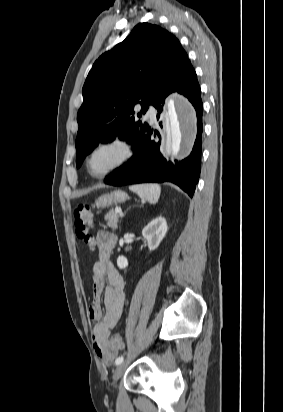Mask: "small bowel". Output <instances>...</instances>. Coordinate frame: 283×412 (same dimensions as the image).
I'll list each match as a JSON object with an SVG mask.
<instances>
[{"label": "small bowel", "instance_id": "c3829d8e", "mask_svg": "<svg viewBox=\"0 0 283 412\" xmlns=\"http://www.w3.org/2000/svg\"><path fill=\"white\" fill-rule=\"evenodd\" d=\"M116 243L117 237L114 234L104 230L97 232L95 246L98 259L91 270L93 301L88 310L89 317L95 322L92 328L94 349L107 365L112 363L116 352L104 353L103 346L110 331L117 326L125 302L123 276L111 261Z\"/></svg>", "mask_w": 283, "mask_h": 412}]
</instances>
